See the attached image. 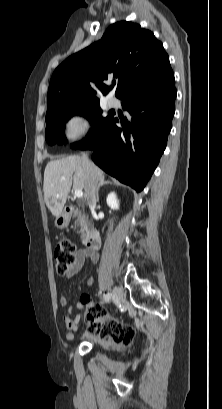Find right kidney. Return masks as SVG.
<instances>
[{"instance_id":"right-kidney-1","label":"right kidney","mask_w":222,"mask_h":409,"mask_svg":"<svg viewBox=\"0 0 222 409\" xmlns=\"http://www.w3.org/2000/svg\"><path fill=\"white\" fill-rule=\"evenodd\" d=\"M106 202H107V205L111 209H114V210L119 209V201L117 199V196H116L115 192H111L110 194H108Z\"/></svg>"}]
</instances>
